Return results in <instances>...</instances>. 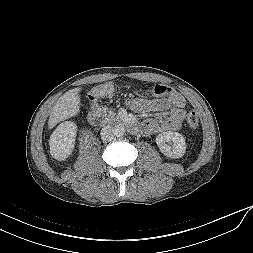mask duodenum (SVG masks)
Returning <instances> with one entry per match:
<instances>
[{"label":"duodenum","mask_w":253,"mask_h":253,"mask_svg":"<svg viewBox=\"0 0 253 253\" xmlns=\"http://www.w3.org/2000/svg\"><path fill=\"white\" fill-rule=\"evenodd\" d=\"M88 120L90 124L94 126H98L103 123L104 114L102 108L99 105H93L91 107L88 114ZM120 122L129 128L132 132H136L139 129L138 124L130 118H123Z\"/></svg>","instance_id":"duodenum-1"}]
</instances>
